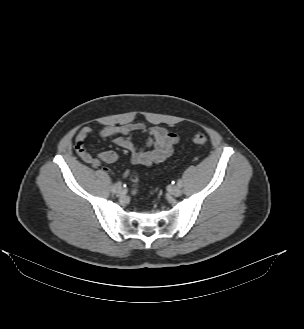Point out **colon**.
Returning a JSON list of instances; mask_svg holds the SVG:
<instances>
[{"label":"colon","mask_w":304,"mask_h":329,"mask_svg":"<svg viewBox=\"0 0 304 329\" xmlns=\"http://www.w3.org/2000/svg\"><path fill=\"white\" fill-rule=\"evenodd\" d=\"M192 142L195 144V145H198V146H203L207 143V136L205 135V133L203 132H197L193 138H192ZM131 178L133 181H137L138 178H139V173L137 171H134L132 172L131 174Z\"/></svg>","instance_id":"colon-1"}]
</instances>
